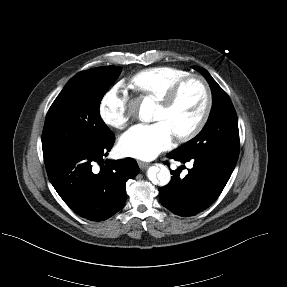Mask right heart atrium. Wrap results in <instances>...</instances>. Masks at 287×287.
I'll use <instances>...</instances> for the list:
<instances>
[{
	"label": "right heart atrium",
	"instance_id": "1",
	"mask_svg": "<svg viewBox=\"0 0 287 287\" xmlns=\"http://www.w3.org/2000/svg\"><path fill=\"white\" fill-rule=\"evenodd\" d=\"M128 92L123 83L112 86L101 98L99 103V116L104 124L121 130L128 123L130 114L128 111Z\"/></svg>",
	"mask_w": 287,
	"mask_h": 287
}]
</instances>
